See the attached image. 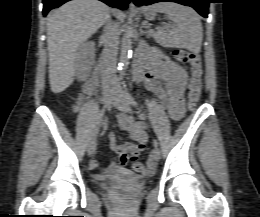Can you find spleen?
<instances>
[{"instance_id": "spleen-1", "label": "spleen", "mask_w": 260, "mask_h": 217, "mask_svg": "<svg viewBox=\"0 0 260 217\" xmlns=\"http://www.w3.org/2000/svg\"><path fill=\"white\" fill-rule=\"evenodd\" d=\"M151 8L164 13L174 23L172 29L160 30L156 34L159 44L200 51L203 39L202 24L198 14L191 7L177 3H157Z\"/></svg>"}]
</instances>
